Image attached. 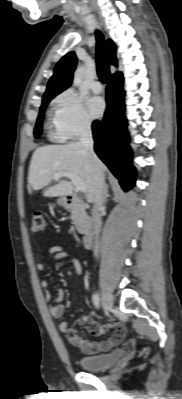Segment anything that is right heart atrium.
<instances>
[{
	"mask_svg": "<svg viewBox=\"0 0 182 399\" xmlns=\"http://www.w3.org/2000/svg\"><path fill=\"white\" fill-rule=\"evenodd\" d=\"M54 127L58 138L75 139L91 129L92 121L81 98L71 90L58 95L54 102Z\"/></svg>",
	"mask_w": 182,
	"mask_h": 399,
	"instance_id": "1",
	"label": "right heart atrium"
}]
</instances>
